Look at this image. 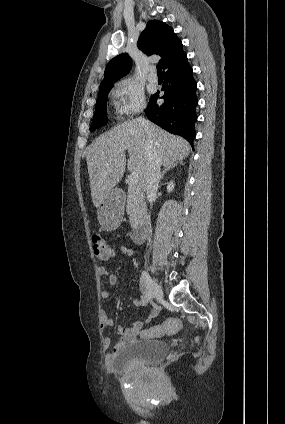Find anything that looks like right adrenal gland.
Segmentation results:
<instances>
[{
	"label": "right adrenal gland",
	"mask_w": 285,
	"mask_h": 424,
	"mask_svg": "<svg viewBox=\"0 0 285 424\" xmlns=\"http://www.w3.org/2000/svg\"><path fill=\"white\" fill-rule=\"evenodd\" d=\"M177 164H182V162H177V163H175V164H170V165H168V166H166V167H164V169H163V171H162V174H161V180L163 179V177H164V175L170 170V169H173V168H175L176 166H177Z\"/></svg>",
	"instance_id": "1"
}]
</instances>
